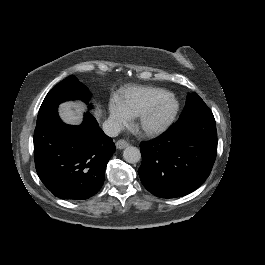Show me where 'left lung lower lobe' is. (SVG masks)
<instances>
[{"label":"left lung lower lobe","mask_w":265,"mask_h":265,"mask_svg":"<svg viewBox=\"0 0 265 265\" xmlns=\"http://www.w3.org/2000/svg\"><path fill=\"white\" fill-rule=\"evenodd\" d=\"M145 188L162 198L187 195L208 178L217 153L214 116L207 107L180 117L158 138L140 144Z\"/></svg>","instance_id":"1"}]
</instances>
